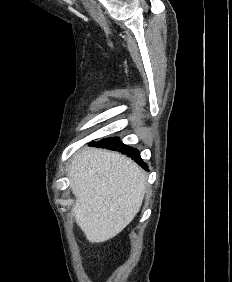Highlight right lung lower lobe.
<instances>
[{
	"label": "right lung lower lobe",
	"mask_w": 232,
	"mask_h": 282,
	"mask_svg": "<svg viewBox=\"0 0 232 282\" xmlns=\"http://www.w3.org/2000/svg\"><path fill=\"white\" fill-rule=\"evenodd\" d=\"M89 145L95 146V147H102V148H106V149L114 150V151L117 150L121 153L126 154L128 157H131L132 159H134V161L136 163H138L140 166H142V168H144V169L148 168L147 164H145L142 161V159L139 155V152L134 148H131L127 145L121 144L119 142V138H117V137L105 138V139H102L98 142H91Z\"/></svg>",
	"instance_id": "obj_1"
}]
</instances>
